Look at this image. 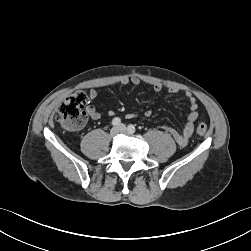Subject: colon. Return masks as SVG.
Returning a JSON list of instances; mask_svg holds the SVG:
<instances>
[{
	"label": "colon",
	"mask_w": 251,
	"mask_h": 251,
	"mask_svg": "<svg viewBox=\"0 0 251 251\" xmlns=\"http://www.w3.org/2000/svg\"><path fill=\"white\" fill-rule=\"evenodd\" d=\"M88 96L83 91H76L69 95L61 104L57 112V120L63 126L71 130H78L86 123V112L84 106ZM208 131L206 124L200 122L196 126V132L204 136Z\"/></svg>",
	"instance_id": "obj_1"
}]
</instances>
